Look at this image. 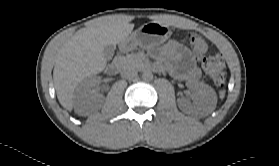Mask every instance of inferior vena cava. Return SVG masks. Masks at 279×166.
<instances>
[{
	"label": "inferior vena cava",
	"instance_id": "1",
	"mask_svg": "<svg viewBox=\"0 0 279 166\" xmlns=\"http://www.w3.org/2000/svg\"><path fill=\"white\" fill-rule=\"evenodd\" d=\"M122 76L127 79H133L137 76V71L134 69L126 70L122 73Z\"/></svg>",
	"mask_w": 279,
	"mask_h": 166
}]
</instances>
